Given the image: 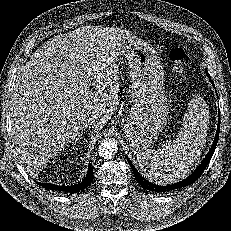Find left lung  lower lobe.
<instances>
[{
    "mask_svg": "<svg viewBox=\"0 0 231 231\" xmlns=\"http://www.w3.org/2000/svg\"><path fill=\"white\" fill-rule=\"evenodd\" d=\"M206 74L210 78V75L208 74L207 71H206ZM211 82L213 84V87L215 88L213 81H211ZM219 130H220V115H219L215 140H214L208 154L206 155V157L202 161V163L196 168V170L189 177H187L186 179L182 180L181 182H178V183L173 184V185L160 186V185H156V184H153V183L147 181L138 173V171L132 165L131 161L128 159V162L132 168V171L134 173V176H135L137 182L142 187H144L145 189H147L149 191H154V192H165V191L175 190V189L193 184L202 175L203 171L205 170L206 166L208 165V163L210 162V160L214 154V151H215V148H216V145L218 142V138H219Z\"/></svg>",
    "mask_w": 231,
    "mask_h": 231,
    "instance_id": "obj_1",
    "label": "left lung lower lobe"
}]
</instances>
